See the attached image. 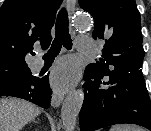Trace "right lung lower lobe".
<instances>
[{"label":"right lung lower lobe","instance_id":"obj_1","mask_svg":"<svg viewBox=\"0 0 151 131\" xmlns=\"http://www.w3.org/2000/svg\"><path fill=\"white\" fill-rule=\"evenodd\" d=\"M52 91L49 86L48 76L42 79L28 76L12 85L0 89V96H13L31 101L47 109L50 106Z\"/></svg>","mask_w":151,"mask_h":131}]
</instances>
